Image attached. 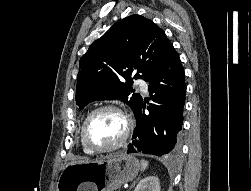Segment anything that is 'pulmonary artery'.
Here are the masks:
<instances>
[{"mask_svg":"<svg viewBox=\"0 0 251 191\" xmlns=\"http://www.w3.org/2000/svg\"><path fill=\"white\" fill-rule=\"evenodd\" d=\"M140 81L138 82L139 88L143 91V92H147L148 90V86L147 83L144 81H141L142 79H139Z\"/></svg>","mask_w":251,"mask_h":191,"instance_id":"obj_1","label":"pulmonary artery"}]
</instances>
